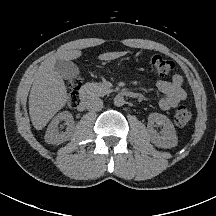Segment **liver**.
<instances>
[{
  "mask_svg": "<svg viewBox=\"0 0 216 216\" xmlns=\"http://www.w3.org/2000/svg\"><path fill=\"white\" fill-rule=\"evenodd\" d=\"M125 54L126 51L107 52L100 54L98 59L114 60ZM81 55L79 50L62 52L46 59L38 68L29 96V114L36 130H42L69 98L62 77L54 69L56 60H72Z\"/></svg>",
  "mask_w": 216,
  "mask_h": 216,
  "instance_id": "6515ba94",
  "label": "liver"
}]
</instances>
